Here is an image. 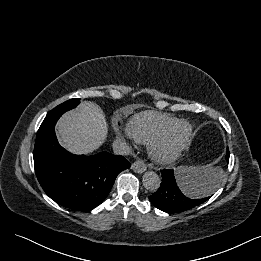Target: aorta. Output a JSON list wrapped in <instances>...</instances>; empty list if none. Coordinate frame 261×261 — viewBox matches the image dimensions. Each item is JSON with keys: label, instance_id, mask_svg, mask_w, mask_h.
<instances>
[{"label": "aorta", "instance_id": "1", "mask_svg": "<svg viewBox=\"0 0 261 261\" xmlns=\"http://www.w3.org/2000/svg\"><path fill=\"white\" fill-rule=\"evenodd\" d=\"M142 182H143L144 188L149 191L158 190V188L160 187V183H161L159 176L153 171L146 172L143 175Z\"/></svg>", "mask_w": 261, "mask_h": 261}]
</instances>
